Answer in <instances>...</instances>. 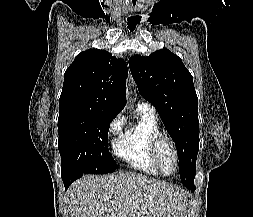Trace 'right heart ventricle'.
Wrapping results in <instances>:
<instances>
[{
	"instance_id": "1",
	"label": "right heart ventricle",
	"mask_w": 253,
	"mask_h": 217,
	"mask_svg": "<svg viewBox=\"0 0 253 217\" xmlns=\"http://www.w3.org/2000/svg\"><path fill=\"white\" fill-rule=\"evenodd\" d=\"M136 121L118 137L114 145L115 154L140 172L159 175L150 154L151 141L161 134L157 117L150 111L138 107Z\"/></svg>"
}]
</instances>
